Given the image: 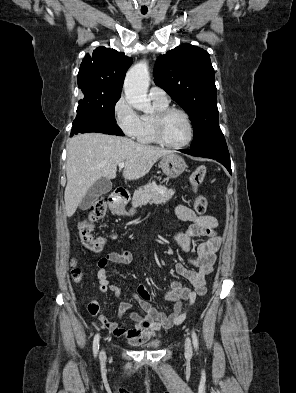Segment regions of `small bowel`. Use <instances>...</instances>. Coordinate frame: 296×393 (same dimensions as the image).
<instances>
[{
    "label": "small bowel",
    "instance_id": "1",
    "mask_svg": "<svg viewBox=\"0 0 296 393\" xmlns=\"http://www.w3.org/2000/svg\"><path fill=\"white\" fill-rule=\"evenodd\" d=\"M175 215L182 221L189 222L188 228L173 236L174 241L184 251L192 248L193 240L197 237L207 236L208 239L200 243L196 248V254L188 258L189 264L196 270H190L182 263L175 264L176 272L188 279L192 288H188L180 281H173L171 289L163 292V297L174 301L176 304L172 312L158 310L153 305V295L145 284L137 288V293L132 300H127L119 305V314L125 316L126 320L118 323L110 320L107 315L100 312V302L98 299H90L87 296L88 312L96 316L105 329L118 337H125L132 345H140L149 340L156 331L169 329L181 324L186 311L183 309V302L186 301L191 306L198 296L206 293L205 279L209 275L216 261V252L221 245V237L216 229L219 226L218 220L211 215L197 214L188 206L179 204L174 209ZM133 255L128 250L114 251L101 257L98 260L97 278L99 285L97 291L100 294L111 292L115 296L122 294V288L113 283L107 274L109 263L128 264L132 261ZM133 301H136L142 313L129 312Z\"/></svg>",
    "mask_w": 296,
    "mask_h": 393
}]
</instances>
